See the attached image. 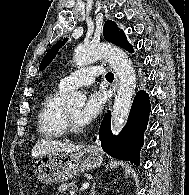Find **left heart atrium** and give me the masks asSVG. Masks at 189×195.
<instances>
[{
	"label": "left heart atrium",
	"mask_w": 189,
	"mask_h": 195,
	"mask_svg": "<svg viewBox=\"0 0 189 195\" xmlns=\"http://www.w3.org/2000/svg\"><path fill=\"white\" fill-rule=\"evenodd\" d=\"M106 101V94L104 91H93L89 94L88 99L82 107L78 120L85 126L93 122L101 113Z\"/></svg>",
	"instance_id": "39dd6f15"
}]
</instances>
